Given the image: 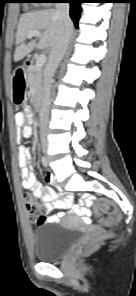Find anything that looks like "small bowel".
<instances>
[{
  "mask_svg": "<svg viewBox=\"0 0 136 296\" xmlns=\"http://www.w3.org/2000/svg\"><path fill=\"white\" fill-rule=\"evenodd\" d=\"M15 120L22 126L21 138H29L32 134V128L29 125L32 121L31 109L26 106L23 112L15 116ZM18 164L23 188L31 191L32 194L43 203L46 214L53 209H73V211L85 221L90 220L91 210L88 203L81 202L79 205L73 206L70 196L63 193H56L52 189L45 188L37 181L31 165V151L28 147L21 146L19 148ZM45 179L51 183L55 180L54 176L50 173L46 174ZM61 216H63L62 213L56 216H47L46 223H55ZM101 222L104 225H109L107 220L101 219Z\"/></svg>",
  "mask_w": 136,
  "mask_h": 296,
  "instance_id": "small-bowel-1",
  "label": "small bowel"
}]
</instances>
